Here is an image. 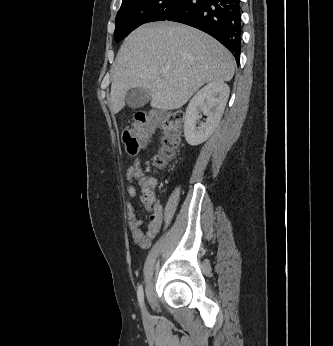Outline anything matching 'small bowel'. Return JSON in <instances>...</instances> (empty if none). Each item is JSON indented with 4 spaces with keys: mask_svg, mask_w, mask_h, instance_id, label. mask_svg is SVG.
<instances>
[{
    "mask_svg": "<svg viewBox=\"0 0 333 346\" xmlns=\"http://www.w3.org/2000/svg\"><path fill=\"white\" fill-rule=\"evenodd\" d=\"M126 177L129 181L127 186L129 197L134 198L137 196V188L135 186V182H137L142 189L140 200L150 213L148 229L144 231L142 228L143 220L137 216L134 204L131 202L126 204L128 225L133 238L131 240V245L147 247L161 230L163 208L161 203L157 200L153 189H148V179L143 177L139 159L135 160V162L128 167Z\"/></svg>",
    "mask_w": 333,
    "mask_h": 346,
    "instance_id": "obj_1",
    "label": "small bowel"
}]
</instances>
